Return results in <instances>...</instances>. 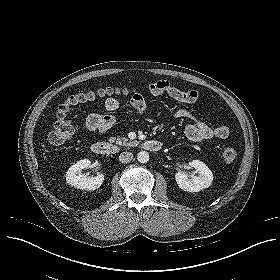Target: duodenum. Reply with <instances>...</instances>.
<instances>
[{"label": "duodenum", "instance_id": "410a0bca", "mask_svg": "<svg viewBox=\"0 0 280 280\" xmlns=\"http://www.w3.org/2000/svg\"><path fill=\"white\" fill-rule=\"evenodd\" d=\"M139 146L151 153H158V152H160V150L162 148L161 142L156 139H147V140L141 141L139 143ZM92 151H93V153H95L97 155L108 156V155L115 154L117 152V149L112 144L97 141V142L93 143Z\"/></svg>", "mask_w": 280, "mask_h": 280}]
</instances>
